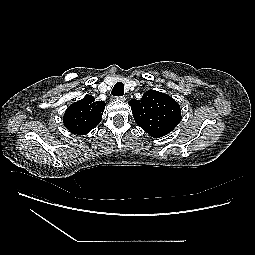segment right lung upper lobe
<instances>
[{
	"mask_svg": "<svg viewBox=\"0 0 255 255\" xmlns=\"http://www.w3.org/2000/svg\"><path fill=\"white\" fill-rule=\"evenodd\" d=\"M104 109L103 101H95L92 95H86L67 108L63 117L64 125L73 134H87L100 123Z\"/></svg>",
	"mask_w": 255,
	"mask_h": 255,
	"instance_id": "right-lung-upper-lobe-1",
	"label": "right lung upper lobe"
}]
</instances>
